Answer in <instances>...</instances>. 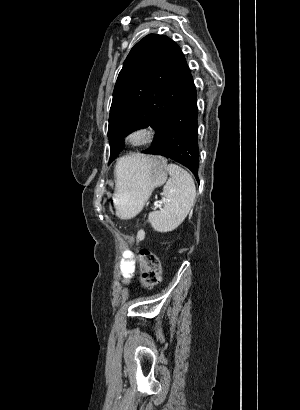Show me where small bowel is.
Here are the masks:
<instances>
[{"label":"small bowel","instance_id":"1","mask_svg":"<svg viewBox=\"0 0 300 410\" xmlns=\"http://www.w3.org/2000/svg\"><path fill=\"white\" fill-rule=\"evenodd\" d=\"M144 237V232L140 231L137 234V239H142ZM136 270V259L132 252L124 251L122 254V260L120 263V273L121 276L126 279H132L134 277Z\"/></svg>","mask_w":300,"mask_h":410}]
</instances>
